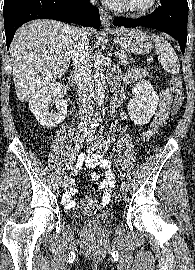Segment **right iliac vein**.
<instances>
[{
    "label": "right iliac vein",
    "mask_w": 195,
    "mask_h": 270,
    "mask_svg": "<svg viewBox=\"0 0 195 270\" xmlns=\"http://www.w3.org/2000/svg\"><path fill=\"white\" fill-rule=\"evenodd\" d=\"M86 137H87V133L85 131H79L76 135L75 146L78 147L82 145ZM68 186H69V177L65 176L62 181V188L66 190Z\"/></svg>",
    "instance_id": "obj_1"
}]
</instances>
